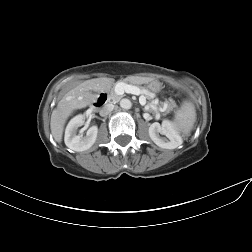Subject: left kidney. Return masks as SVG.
<instances>
[{
	"instance_id": "5707ae66",
	"label": "left kidney",
	"mask_w": 252,
	"mask_h": 252,
	"mask_svg": "<svg viewBox=\"0 0 252 252\" xmlns=\"http://www.w3.org/2000/svg\"><path fill=\"white\" fill-rule=\"evenodd\" d=\"M149 136L157 146L164 149H175L182 144V138L175 125L168 120H164L162 125L158 122L151 124Z\"/></svg>"
}]
</instances>
